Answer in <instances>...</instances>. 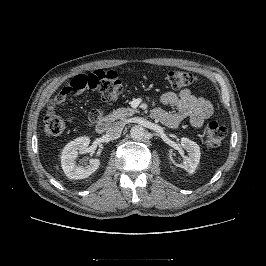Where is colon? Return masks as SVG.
Here are the masks:
<instances>
[{"label": "colon", "mask_w": 266, "mask_h": 266, "mask_svg": "<svg viewBox=\"0 0 266 266\" xmlns=\"http://www.w3.org/2000/svg\"><path fill=\"white\" fill-rule=\"evenodd\" d=\"M166 82L171 89L179 90L197 83L198 78L190 72L174 69L167 72ZM124 88V82L115 71L97 70L73 77L55 97L54 104L48 106L44 117L45 133L50 137H57L64 132L66 122L63 117L57 114L54 105L62 104L72 91L96 89L103 101L115 102ZM93 116L99 117L100 110L95 109ZM226 134L227 131L223 125L211 121L204 130L205 144L209 147H217L223 142Z\"/></svg>", "instance_id": "5ec220e1"}]
</instances>
